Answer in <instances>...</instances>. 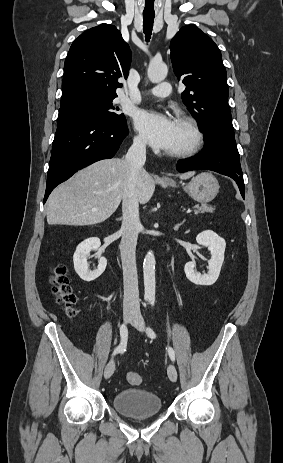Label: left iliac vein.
I'll use <instances>...</instances> for the list:
<instances>
[{
	"mask_svg": "<svg viewBox=\"0 0 283 463\" xmlns=\"http://www.w3.org/2000/svg\"><path fill=\"white\" fill-rule=\"evenodd\" d=\"M131 324L141 332L145 330V321L140 312L135 313V316L131 319ZM167 374L172 382L177 380V370L173 364L168 366Z\"/></svg>",
	"mask_w": 283,
	"mask_h": 463,
	"instance_id": "4c4485c4",
	"label": "left iliac vein"
}]
</instances>
